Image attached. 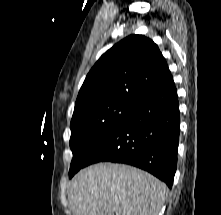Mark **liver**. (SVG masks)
<instances>
[{"label": "liver", "mask_w": 221, "mask_h": 215, "mask_svg": "<svg viewBox=\"0 0 221 215\" xmlns=\"http://www.w3.org/2000/svg\"><path fill=\"white\" fill-rule=\"evenodd\" d=\"M168 188L132 166L99 163L81 170L70 182L74 215H158Z\"/></svg>", "instance_id": "liver-1"}]
</instances>
